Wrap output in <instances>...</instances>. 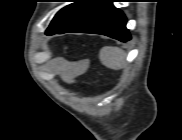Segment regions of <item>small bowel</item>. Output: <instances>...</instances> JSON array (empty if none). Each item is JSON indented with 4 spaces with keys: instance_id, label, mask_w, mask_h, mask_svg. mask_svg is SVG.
Instances as JSON below:
<instances>
[{
    "instance_id": "1",
    "label": "small bowel",
    "mask_w": 182,
    "mask_h": 140,
    "mask_svg": "<svg viewBox=\"0 0 182 140\" xmlns=\"http://www.w3.org/2000/svg\"><path fill=\"white\" fill-rule=\"evenodd\" d=\"M87 64L84 63L80 66H76L71 70H68L66 72H64V74H62V78L66 81V82H73L74 79L82 74L84 72V70L86 69Z\"/></svg>"
}]
</instances>
